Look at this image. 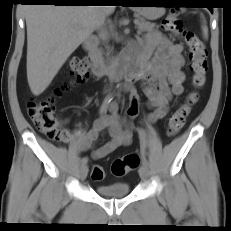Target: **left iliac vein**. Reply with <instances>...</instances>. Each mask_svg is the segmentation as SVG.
<instances>
[{
	"label": "left iliac vein",
	"instance_id": "4c4485c4",
	"mask_svg": "<svg viewBox=\"0 0 231 231\" xmlns=\"http://www.w3.org/2000/svg\"><path fill=\"white\" fill-rule=\"evenodd\" d=\"M139 174L143 180H148L150 176L149 167L147 165L142 164L139 168Z\"/></svg>",
	"mask_w": 231,
	"mask_h": 231
}]
</instances>
